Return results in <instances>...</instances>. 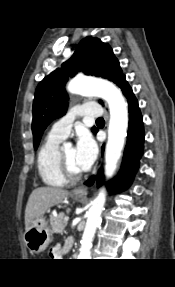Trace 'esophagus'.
Returning a JSON list of instances; mask_svg holds the SVG:
<instances>
[{"instance_id": "1", "label": "esophagus", "mask_w": 175, "mask_h": 287, "mask_svg": "<svg viewBox=\"0 0 175 287\" xmlns=\"http://www.w3.org/2000/svg\"><path fill=\"white\" fill-rule=\"evenodd\" d=\"M73 193L76 195L86 196L87 195V187L79 186L73 190Z\"/></svg>"}]
</instances>
